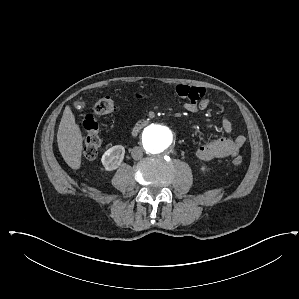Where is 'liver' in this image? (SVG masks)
Masks as SVG:
<instances>
[{
    "label": "liver",
    "instance_id": "6515ba94",
    "mask_svg": "<svg viewBox=\"0 0 299 299\" xmlns=\"http://www.w3.org/2000/svg\"><path fill=\"white\" fill-rule=\"evenodd\" d=\"M57 143L64 161L74 170L81 166L83 137L75 116L66 106L57 132Z\"/></svg>",
    "mask_w": 299,
    "mask_h": 299
}]
</instances>
